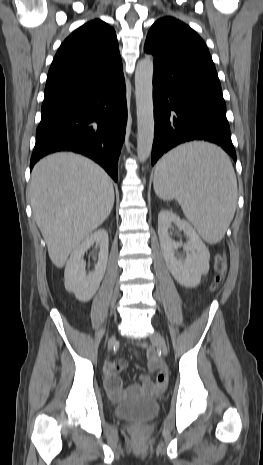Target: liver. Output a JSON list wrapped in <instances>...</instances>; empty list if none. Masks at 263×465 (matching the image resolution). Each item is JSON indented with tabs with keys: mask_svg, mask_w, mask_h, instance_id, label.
<instances>
[{
	"mask_svg": "<svg viewBox=\"0 0 263 465\" xmlns=\"http://www.w3.org/2000/svg\"><path fill=\"white\" fill-rule=\"evenodd\" d=\"M29 191L34 219L57 268L114 205L109 175L92 160L69 152L41 159L33 168Z\"/></svg>",
	"mask_w": 263,
	"mask_h": 465,
	"instance_id": "1",
	"label": "liver"
}]
</instances>
